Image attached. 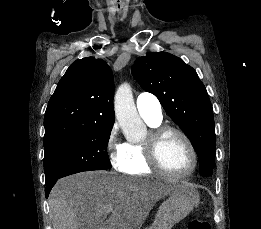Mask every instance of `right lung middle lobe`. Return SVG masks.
I'll return each mask as SVG.
<instances>
[{"label":"right lung middle lobe","instance_id":"right-lung-middle-lobe-1","mask_svg":"<svg viewBox=\"0 0 261 229\" xmlns=\"http://www.w3.org/2000/svg\"><path fill=\"white\" fill-rule=\"evenodd\" d=\"M113 124L95 125L60 143L45 148L46 185L83 171L110 169L107 145Z\"/></svg>","mask_w":261,"mask_h":229}]
</instances>
